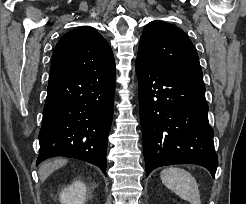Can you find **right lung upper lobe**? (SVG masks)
Returning <instances> with one entry per match:
<instances>
[{"label": "right lung upper lobe", "instance_id": "obj_1", "mask_svg": "<svg viewBox=\"0 0 246 204\" xmlns=\"http://www.w3.org/2000/svg\"><path fill=\"white\" fill-rule=\"evenodd\" d=\"M115 68L114 57L107 41L92 27L66 33L53 53L50 78Z\"/></svg>", "mask_w": 246, "mask_h": 204}]
</instances>
